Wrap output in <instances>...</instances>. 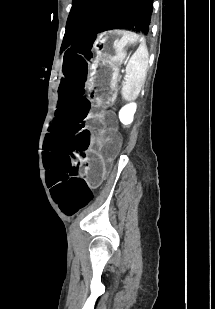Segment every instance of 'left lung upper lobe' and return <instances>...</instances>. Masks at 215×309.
<instances>
[{
	"label": "left lung upper lobe",
	"instance_id": "left-lung-upper-lobe-1",
	"mask_svg": "<svg viewBox=\"0 0 215 309\" xmlns=\"http://www.w3.org/2000/svg\"><path fill=\"white\" fill-rule=\"evenodd\" d=\"M153 0H73L61 50L116 28L149 33Z\"/></svg>",
	"mask_w": 215,
	"mask_h": 309
}]
</instances>
